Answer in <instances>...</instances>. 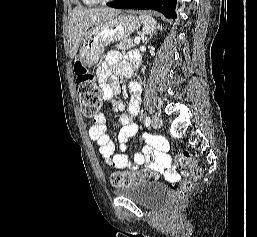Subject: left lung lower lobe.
Segmentation results:
<instances>
[{
  "instance_id": "0a47b994",
  "label": "left lung lower lobe",
  "mask_w": 257,
  "mask_h": 237,
  "mask_svg": "<svg viewBox=\"0 0 257 237\" xmlns=\"http://www.w3.org/2000/svg\"><path fill=\"white\" fill-rule=\"evenodd\" d=\"M107 5L119 9H153L161 12L167 18H176V0H118Z\"/></svg>"
}]
</instances>
